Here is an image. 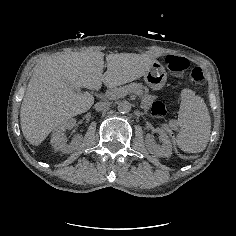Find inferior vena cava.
<instances>
[{"label":"inferior vena cava","mask_w":236,"mask_h":236,"mask_svg":"<svg viewBox=\"0 0 236 236\" xmlns=\"http://www.w3.org/2000/svg\"><path fill=\"white\" fill-rule=\"evenodd\" d=\"M110 104H111L110 102H99L95 105V110L97 111L107 110Z\"/></svg>","instance_id":"inferior-vena-cava-1"}]
</instances>
